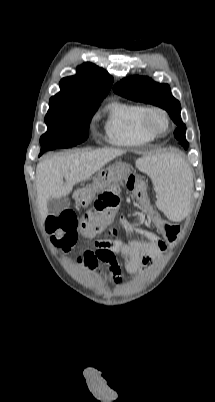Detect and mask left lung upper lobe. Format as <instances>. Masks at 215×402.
I'll list each match as a JSON object with an SVG mask.
<instances>
[{
	"label": "left lung upper lobe",
	"instance_id": "5c2ea615",
	"mask_svg": "<svg viewBox=\"0 0 215 402\" xmlns=\"http://www.w3.org/2000/svg\"><path fill=\"white\" fill-rule=\"evenodd\" d=\"M113 91L128 99L153 104L166 110L178 126L174 136L184 148L188 147L185 138L186 126L180 117L181 106L172 96L168 84L154 82L148 77L133 76L115 84Z\"/></svg>",
	"mask_w": 215,
	"mask_h": 402
}]
</instances>
